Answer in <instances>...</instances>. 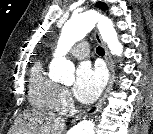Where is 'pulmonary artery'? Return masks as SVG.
I'll use <instances>...</instances> for the list:
<instances>
[{
    "label": "pulmonary artery",
    "mask_w": 153,
    "mask_h": 134,
    "mask_svg": "<svg viewBox=\"0 0 153 134\" xmlns=\"http://www.w3.org/2000/svg\"><path fill=\"white\" fill-rule=\"evenodd\" d=\"M71 54L78 59L86 58L89 54L88 43L86 42L79 43L71 50Z\"/></svg>",
    "instance_id": "1"
}]
</instances>
